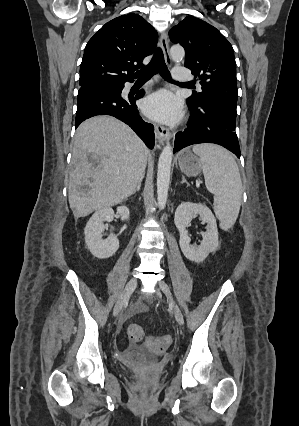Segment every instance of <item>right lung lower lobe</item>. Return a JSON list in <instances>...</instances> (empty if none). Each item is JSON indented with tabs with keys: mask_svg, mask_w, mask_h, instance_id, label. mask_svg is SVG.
<instances>
[{
	"mask_svg": "<svg viewBox=\"0 0 299 426\" xmlns=\"http://www.w3.org/2000/svg\"><path fill=\"white\" fill-rule=\"evenodd\" d=\"M124 84L118 87L82 86L78 91V105L75 128L84 120L96 115H111L128 124L135 133L152 149L154 147L153 125L140 117L135 100L143 97L144 91L135 98H123Z\"/></svg>",
	"mask_w": 299,
	"mask_h": 426,
	"instance_id": "1",
	"label": "right lung lower lobe"
}]
</instances>
